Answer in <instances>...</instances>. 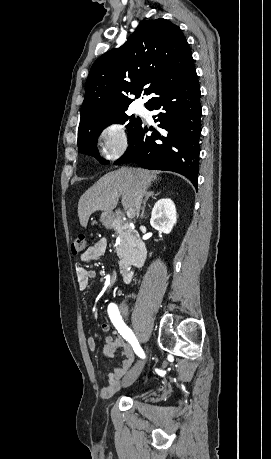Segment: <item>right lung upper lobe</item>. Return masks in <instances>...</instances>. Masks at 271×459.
<instances>
[{"label": "right lung upper lobe", "instance_id": "1", "mask_svg": "<svg viewBox=\"0 0 271 459\" xmlns=\"http://www.w3.org/2000/svg\"><path fill=\"white\" fill-rule=\"evenodd\" d=\"M193 72L192 53L180 28L163 18L143 20L123 46L92 65L80 122L123 113L134 101L125 94L138 98L144 91L152 98Z\"/></svg>", "mask_w": 271, "mask_h": 459}]
</instances>
